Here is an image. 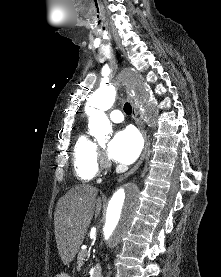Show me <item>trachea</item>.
I'll use <instances>...</instances> for the list:
<instances>
[{
	"label": "trachea",
	"instance_id": "1",
	"mask_svg": "<svg viewBox=\"0 0 221 277\" xmlns=\"http://www.w3.org/2000/svg\"><path fill=\"white\" fill-rule=\"evenodd\" d=\"M124 112L127 115H131V113H132V107H131L130 103H125L124 104Z\"/></svg>",
	"mask_w": 221,
	"mask_h": 277
}]
</instances>
